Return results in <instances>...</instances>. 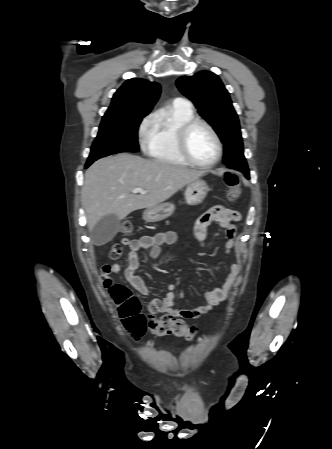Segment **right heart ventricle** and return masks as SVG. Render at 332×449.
Instances as JSON below:
<instances>
[{
	"label": "right heart ventricle",
	"mask_w": 332,
	"mask_h": 449,
	"mask_svg": "<svg viewBox=\"0 0 332 449\" xmlns=\"http://www.w3.org/2000/svg\"><path fill=\"white\" fill-rule=\"evenodd\" d=\"M194 118L191 107L174 103L170 108L155 118L152 133L146 145L147 154L159 161L186 165L177 148L179 127Z\"/></svg>",
	"instance_id": "e07e8e85"
}]
</instances>
